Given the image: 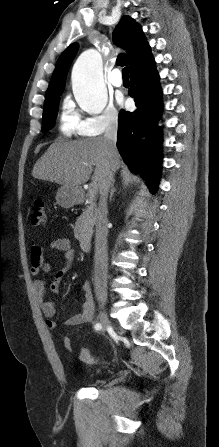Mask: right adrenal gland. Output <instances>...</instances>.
<instances>
[{
    "instance_id": "1",
    "label": "right adrenal gland",
    "mask_w": 219,
    "mask_h": 447,
    "mask_svg": "<svg viewBox=\"0 0 219 447\" xmlns=\"http://www.w3.org/2000/svg\"><path fill=\"white\" fill-rule=\"evenodd\" d=\"M115 191H116V190H115V188H114V180H113L112 185H111V191H110V200L112 199L113 194H114Z\"/></svg>"
}]
</instances>
